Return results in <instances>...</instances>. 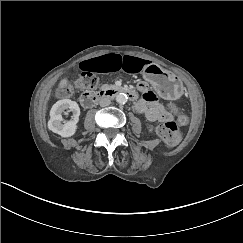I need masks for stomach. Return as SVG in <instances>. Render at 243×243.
I'll use <instances>...</instances> for the list:
<instances>
[{
    "mask_svg": "<svg viewBox=\"0 0 243 243\" xmlns=\"http://www.w3.org/2000/svg\"><path fill=\"white\" fill-rule=\"evenodd\" d=\"M144 79L165 99H178L183 92L181 81L169 71L156 64H148L142 69Z\"/></svg>",
    "mask_w": 243,
    "mask_h": 243,
    "instance_id": "obj_1",
    "label": "stomach"
}]
</instances>
